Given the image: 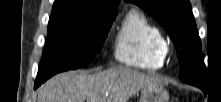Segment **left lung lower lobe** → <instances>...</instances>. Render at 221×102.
Returning <instances> with one entry per match:
<instances>
[{
  "instance_id": "obj_1",
  "label": "left lung lower lobe",
  "mask_w": 221,
  "mask_h": 102,
  "mask_svg": "<svg viewBox=\"0 0 221 102\" xmlns=\"http://www.w3.org/2000/svg\"><path fill=\"white\" fill-rule=\"evenodd\" d=\"M205 89V87H202V90H204Z\"/></svg>"
}]
</instances>
